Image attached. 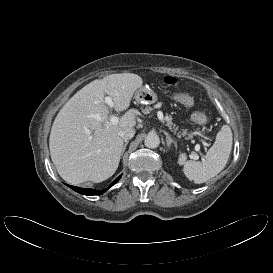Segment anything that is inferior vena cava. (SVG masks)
Returning <instances> with one entry per match:
<instances>
[{"mask_svg":"<svg viewBox=\"0 0 273 273\" xmlns=\"http://www.w3.org/2000/svg\"><path fill=\"white\" fill-rule=\"evenodd\" d=\"M135 135V129L134 128H126L124 130H121L119 132V136L124 140H129Z\"/></svg>","mask_w":273,"mask_h":273,"instance_id":"inferior-vena-cava-1","label":"inferior vena cava"}]
</instances>
